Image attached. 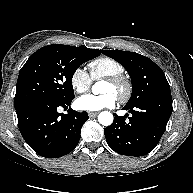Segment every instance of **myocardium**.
Segmentation results:
<instances>
[{
    "instance_id": "myocardium-1",
    "label": "myocardium",
    "mask_w": 193,
    "mask_h": 193,
    "mask_svg": "<svg viewBox=\"0 0 193 193\" xmlns=\"http://www.w3.org/2000/svg\"><path fill=\"white\" fill-rule=\"evenodd\" d=\"M105 81L121 89L120 94L117 96L119 102L126 103L130 99L133 86L131 80L125 74L108 76Z\"/></svg>"
}]
</instances>
